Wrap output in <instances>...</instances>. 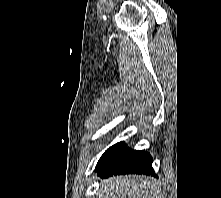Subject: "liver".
I'll return each mask as SVG.
<instances>
[{
    "mask_svg": "<svg viewBox=\"0 0 221 198\" xmlns=\"http://www.w3.org/2000/svg\"><path fill=\"white\" fill-rule=\"evenodd\" d=\"M102 198H163L161 188L152 178L136 175L114 176L103 180Z\"/></svg>",
    "mask_w": 221,
    "mask_h": 198,
    "instance_id": "obj_1",
    "label": "liver"
}]
</instances>
